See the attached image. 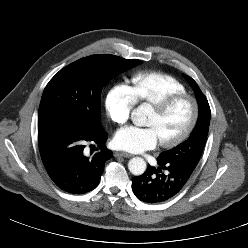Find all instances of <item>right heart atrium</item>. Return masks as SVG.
<instances>
[{
  "label": "right heart atrium",
  "instance_id": "obj_1",
  "mask_svg": "<svg viewBox=\"0 0 248 248\" xmlns=\"http://www.w3.org/2000/svg\"><path fill=\"white\" fill-rule=\"evenodd\" d=\"M134 105V98L126 85L116 84L106 93L105 108L116 124L122 125L128 121Z\"/></svg>",
  "mask_w": 248,
  "mask_h": 248
}]
</instances>
